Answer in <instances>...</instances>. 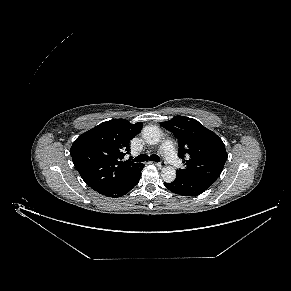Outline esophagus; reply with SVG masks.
<instances>
[{
  "instance_id": "34e87169",
  "label": "esophagus",
  "mask_w": 291,
  "mask_h": 291,
  "mask_svg": "<svg viewBox=\"0 0 291 291\" xmlns=\"http://www.w3.org/2000/svg\"><path fill=\"white\" fill-rule=\"evenodd\" d=\"M155 165H156L159 169H161V168H163V167L165 166V162H164V161H161V162L155 163Z\"/></svg>"
}]
</instances>
